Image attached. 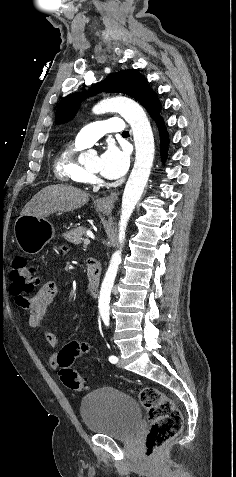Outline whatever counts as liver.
<instances>
[{"instance_id":"liver-1","label":"liver","mask_w":236,"mask_h":477,"mask_svg":"<svg viewBox=\"0 0 236 477\" xmlns=\"http://www.w3.org/2000/svg\"><path fill=\"white\" fill-rule=\"evenodd\" d=\"M89 194L72 186L50 185L40 190L22 209L20 215L47 217L57 211L70 212L86 204Z\"/></svg>"}]
</instances>
